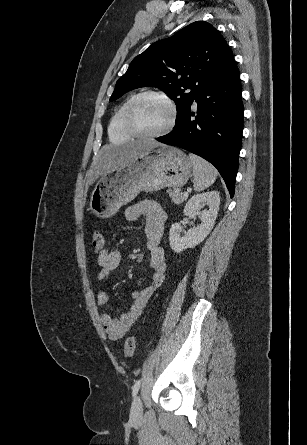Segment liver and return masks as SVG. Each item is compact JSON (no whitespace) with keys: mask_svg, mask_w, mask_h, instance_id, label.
<instances>
[{"mask_svg":"<svg viewBox=\"0 0 307 445\" xmlns=\"http://www.w3.org/2000/svg\"><path fill=\"white\" fill-rule=\"evenodd\" d=\"M155 146H166V144H162V142H153V144L151 142H137V144H131V146H110V144L102 146L95 164L87 172L89 184H93L98 176L112 170L115 166L134 162L141 152L148 150V148H155Z\"/></svg>","mask_w":307,"mask_h":445,"instance_id":"6515ba94","label":"liver"}]
</instances>
